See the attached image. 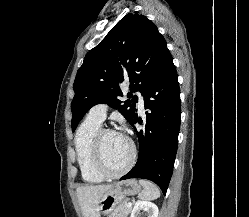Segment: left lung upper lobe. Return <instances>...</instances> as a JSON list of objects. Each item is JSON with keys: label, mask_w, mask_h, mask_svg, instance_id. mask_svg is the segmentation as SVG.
<instances>
[{"label": "left lung upper lobe", "mask_w": 249, "mask_h": 217, "mask_svg": "<svg viewBox=\"0 0 249 217\" xmlns=\"http://www.w3.org/2000/svg\"><path fill=\"white\" fill-rule=\"evenodd\" d=\"M170 55L163 36L144 15L129 13L124 16L91 51L77 71L74 81L75 96L71 103L72 131L94 105L106 103L131 123L135 115L137 97L143 93ZM127 72L130 79L131 100L121 101L118 84Z\"/></svg>", "instance_id": "obj_1"}]
</instances>
